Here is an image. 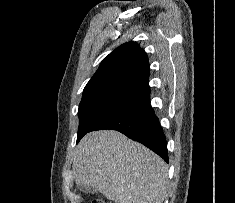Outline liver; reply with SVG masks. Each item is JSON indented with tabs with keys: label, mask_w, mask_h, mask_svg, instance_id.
I'll return each mask as SVG.
<instances>
[{
	"label": "liver",
	"mask_w": 235,
	"mask_h": 203,
	"mask_svg": "<svg viewBox=\"0 0 235 203\" xmlns=\"http://www.w3.org/2000/svg\"><path fill=\"white\" fill-rule=\"evenodd\" d=\"M77 184L92 186L115 203H162L168 167L142 144L114 130L86 134L73 162Z\"/></svg>",
	"instance_id": "1"
}]
</instances>
